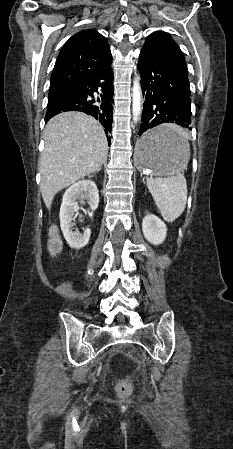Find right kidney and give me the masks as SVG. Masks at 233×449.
<instances>
[{
  "instance_id": "1",
  "label": "right kidney",
  "mask_w": 233,
  "mask_h": 449,
  "mask_svg": "<svg viewBox=\"0 0 233 449\" xmlns=\"http://www.w3.org/2000/svg\"><path fill=\"white\" fill-rule=\"evenodd\" d=\"M88 201L91 211H95L99 204V193L96 184L91 180H82L73 184L64 193L60 207V226L63 236L71 248L80 249L87 245L90 239V228L84 229L83 234L73 232V216L79 210L83 200Z\"/></svg>"
}]
</instances>
